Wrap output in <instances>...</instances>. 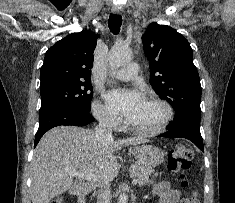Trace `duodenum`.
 <instances>
[{
    "label": "duodenum",
    "mask_w": 235,
    "mask_h": 203,
    "mask_svg": "<svg viewBox=\"0 0 235 203\" xmlns=\"http://www.w3.org/2000/svg\"><path fill=\"white\" fill-rule=\"evenodd\" d=\"M78 203H86V198L84 195H80L78 197Z\"/></svg>",
    "instance_id": "duodenum-1"
}]
</instances>
